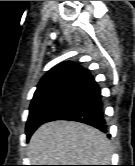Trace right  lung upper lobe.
Returning <instances> with one entry per match:
<instances>
[{
    "label": "right lung upper lobe",
    "mask_w": 135,
    "mask_h": 166,
    "mask_svg": "<svg viewBox=\"0 0 135 166\" xmlns=\"http://www.w3.org/2000/svg\"><path fill=\"white\" fill-rule=\"evenodd\" d=\"M88 75H90L88 70L74 62L66 61L60 63L42 77L32 101H35L57 89L79 82Z\"/></svg>",
    "instance_id": "1"
}]
</instances>
